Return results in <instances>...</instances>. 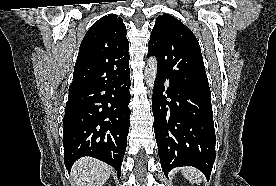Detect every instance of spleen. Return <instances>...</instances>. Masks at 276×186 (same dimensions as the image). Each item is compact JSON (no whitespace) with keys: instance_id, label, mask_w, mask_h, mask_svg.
<instances>
[{"instance_id":"1","label":"spleen","mask_w":276,"mask_h":186,"mask_svg":"<svg viewBox=\"0 0 276 186\" xmlns=\"http://www.w3.org/2000/svg\"><path fill=\"white\" fill-rule=\"evenodd\" d=\"M181 173L191 183H201V181H202L199 171H197L196 169H194L192 167L182 168Z\"/></svg>"}]
</instances>
